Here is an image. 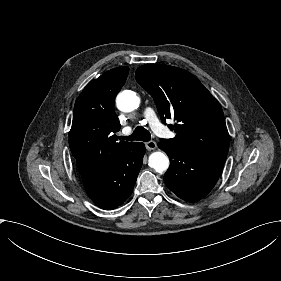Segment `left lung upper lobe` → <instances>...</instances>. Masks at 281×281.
<instances>
[{
  "mask_svg": "<svg viewBox=\"0 0 281 281\" xmlns=\"http://www.w3.org/2000/svg\"><path fill=\"white\" fill-rule=\"evenodd\" d=\"M137 82L153 97L162 121L174 118L169 126L173 139L160 142L192 154L227 156L229 134L219 102L186 70L169 65L140 66Z\"/></svg>",
  "mask_w": 281,
  "mask_h": 281,
  "instance_id": "obj_1",
  "label": "left lung upper lobe"
}]
</instances>
